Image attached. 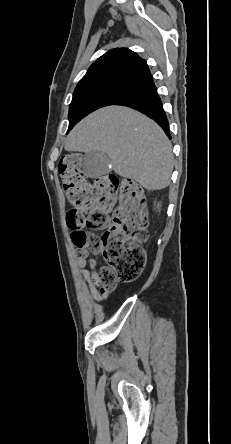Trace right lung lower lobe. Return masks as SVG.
Returning a JSON list of instances; mask_svg holds the SVG:
<instances>
[{
    "label": "right lung lower lobe",
    "instance_id": "right-lung-lower-lobe-1",
    "mask_svg": "<svg viewBox=\"0 0 231 444\" xmlns=\"http://www.w3.org/2000/svg\"><path fill=\"white\" fill-rule=\"evenodd\" d=\"M112 105L128 106L146 114L158 123L166 135L171 138L168 120L153 81L127 92Z\"/></svg>",
    "mask_w": 231,
    "mask_h": 444
}]
</instances>
